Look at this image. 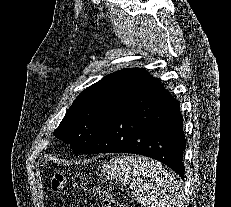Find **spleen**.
I'll return each mask as SVG.
<instances>
[{
	"mask_svg": "<svg viewBox=\"0 0 231 207\" xmlns=\"http://www.w3.org/2000/svg\"><path fill=\"white\" fill-rule=\"evenodd\" d=\"M106 178L129 184L131 196L142 206L174 207L182 202L180 186L159 162L143 156H117L102 165Z\"/></svg>",
	"mask_w": 231,
	"mask_h": 207,
	"instance_id": "3e777b00",
	"label": "spleen"
}]
</instances>
